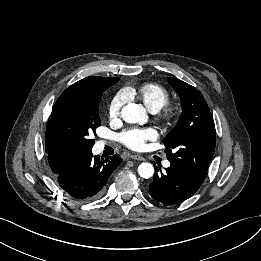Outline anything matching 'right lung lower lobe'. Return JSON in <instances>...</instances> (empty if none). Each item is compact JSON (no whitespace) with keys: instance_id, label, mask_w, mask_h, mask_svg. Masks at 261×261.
I'll return each instance as SVG.
<instances>
[{"instance_id":"obj_1","label":"right lung lower lobe","mask_w":261,"mask_h":261,"mask_svg":"<svg viewBox=\"0 0 261 261\" xmlns=\"http://www.w3.org/2000/svg\"><path fill=\"white\" fill-rule=\"evenodd\" d=\"M121 162L118 154L104 159L93 156L89 151L56 175L57 183L67 197L76 201H90L102 193L108 178Z\"/></svg>"}]
</instances>
